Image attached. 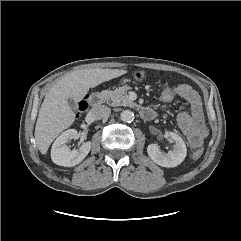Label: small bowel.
Masks as SVG:
<instances>
[{"label":"small bowel","instance_id":"small-bowel-1","mask_svg":"<svg viewBox=\"0 0 241 241\" xmlns=\"http://www.w3.org/2000/svg\"><path fill=\"white\" fill-rule=\"evenodd\" d=\"M174 95L184 100L189 107L187 111H181L177 116V123L188 144L192 148L201 145L206 136V127L202 102L198 93L188 84L172 86Z\"/></svg>","mask_w":241,"mask_h":241}]
</instances>
